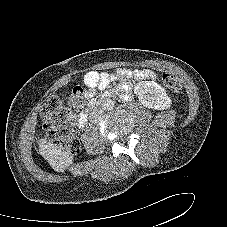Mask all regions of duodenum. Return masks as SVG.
Instances as JSON below:
<instances>
[{
  "instance_id": "1",
  "label": "duodenum",
  "mask_w": 227,
  "mask_h": 227,
  "mask_svg": "<svg viewBox=\"0 0 227 227\" xmlns=\"http://www.w3.org/2000/svg\"><path fill=\"white\" fill-rule=\"evenodd\" d=\"M96 105H97L96 103H93L90 106V108L86 109L85 111H83L80 114V116L77 120V124H78L79 128H84L86 126V124L88 122L89 114H90L91 110L96 107Z\"/></svg>"
}]
</instances>
